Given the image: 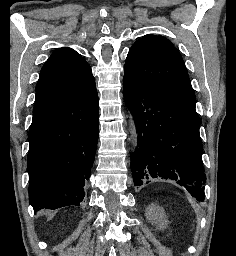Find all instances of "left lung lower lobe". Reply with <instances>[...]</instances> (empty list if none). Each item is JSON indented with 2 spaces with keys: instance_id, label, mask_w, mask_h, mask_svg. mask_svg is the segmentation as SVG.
Segmentation results:
<instances>
[{
  "instance_id": "obj_1",
  "label": "left lung lower lobe",
  "mask_w": 236,
  "mask_h": 256,
  "mask_svg": "<svg viewBox=\"0 0 236 256\" xmlns=\"http://www.w3.org/2000/svg\"><path fill=\"white\" fill-rule=\"evenodd\" d=\"M123 89L138 133V149L131 157L135 186L172 179L202 202L206 176L195 106L126 75Z\"/></svg>"
}]
</instances>
